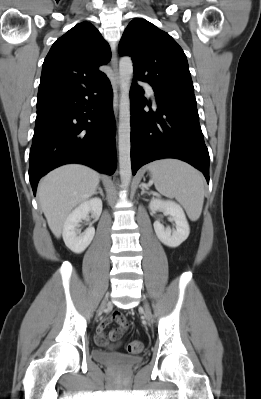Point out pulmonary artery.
Masks as SVG:
<instances>
[{
	"mask_svg": "<svg viewBox=\"0 0 261 399\" xmlns=\"http://www.w3.org/2000/svg\"><path fill=\"white\" fill-rule=\"evenodd\" d=\"M142 86L145 88L147 94L149 96H151L153 101H155V93H154L152 86L150 84H148L147 82H142Z\"/></svg>",
	"mask_w": 261,
	"mask_h": 399,
	"instance_id": "1",
	"label": "pulmonary artery"
}]
</instances>
